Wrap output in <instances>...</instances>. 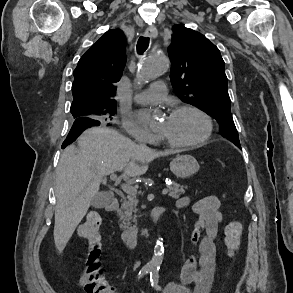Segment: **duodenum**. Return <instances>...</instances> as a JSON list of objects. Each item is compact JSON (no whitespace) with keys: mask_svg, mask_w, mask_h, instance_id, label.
<instances>
[{"mask_svg":"<svg viewBox=\"0 0 293 293\" xmlns=\"http://www.w3.org/2000/svg\"><path fill=\"white\" fill-rule=\"evenodd\" d=\"M107 209L110 212L115 213L116 218L119 223V231H120V236L124 244L129 248V249H134L139 241L140 238V229L130 227L123 219V216L120 211V202L117 197H113L109 204L107 205ZM166 213V208L164 207H155L149 216L148 219V225L149 227L155 226L161 217Z\"/></svg>","mask_w":293,"mask_h":293,"instance_id":"obj_1","label":"duodenum"}]
</instances>
